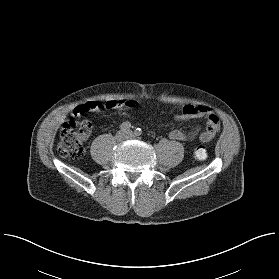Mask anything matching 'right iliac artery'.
Listing matches in <instances>:
<instances>
[{
	"instance_id": "right-iliac-artery-1",
	"label": "right iliac artery",
	"mask_w": 279,
	"mask_h": 279,
	"mask_svg": "<svg viewBox=\"0 0 279 279\" xmlns=\"http://www.w3.org/2000/svg\"><path fill=\"white\" fill-rule=\"evenodd\" d=\"M130 127H131V123L126 121V122H123L121 125H120V129L122 131H129L130 130Z\"/></svg>"
}]
</instances>
